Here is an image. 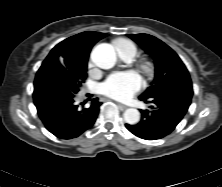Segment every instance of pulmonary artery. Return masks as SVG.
<instances>
[{"instance_id":"1","label":"pulmonary artery","mask_w":222,"mask_h":187,"mask_svg":"<svg viewBox=\"0 0 222 187\" xmlns=\"http://www.w3.org/2000/svg\"><path fill=\"white\" fill-rule=\"evenodd\" d=\"M134 55V52H132L131 50H126L121 53V56L125 61H131Z\"/></svg>"}]
</instances>
